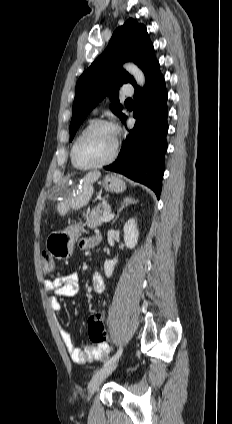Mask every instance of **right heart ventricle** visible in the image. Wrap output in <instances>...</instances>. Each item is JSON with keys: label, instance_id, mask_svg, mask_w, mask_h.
Instances as JSON below:
<instances>
[{"label": "right heart ventricle", "instance_id": "1", "mask_svg": "<svg viewBox=\"0 0 232 424\" xmlns=\"http://www.w3.org/2000/svg\"><path fill=\"white\" fill-rule=\"evenodd\" d=\"M92 123V121H89L88 123H86V125L81 129V131H80V133H79V135L82 133V131L88 126V125H90ZM78 135V136H79ZM73 163V162H72ZM74 165V164H73Z\"/></svg>", "mask_w": 232, "mask_h": 424}]
</instances>
